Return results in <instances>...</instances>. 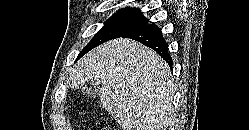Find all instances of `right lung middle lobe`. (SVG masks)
<instances>
[{"instance_id": "right-lung-middle-lobe-1", "label": "right lung middle lobe", "mask_w": 249, "mask_h": 130, "mask_svg": "<svg viewBox=\"0 0 249 130\" xmlns=\"http://www.w3.org/2000/svg\"><path fill=\"white\" fill-rule=\"evenodd\" d=\"M140 10L135 8H125L114 14L104 26L97 32L93 39L80 52L79 57L87 53L94 47L114 38H118L137 28L148 24Z\"/></svg>"}]
</instances>
